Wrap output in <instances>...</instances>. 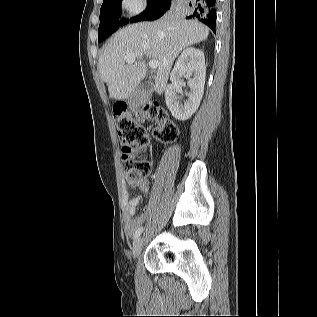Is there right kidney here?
I'll use <instances>...</instances> for the list:
<instances>
[{"mask_svg":"<svg viewBox=\"0 0 317 317\" xmlns=\"http://www.w3.org/2000/svg\"><path fill=\"white\" fill-rule=\"evenodd\" d=\"M183 76H188L190 92L182 104L180 97ZM206 65L204 53L200 49L189 47L183 50L170 74L171 84L166 87L165 101L172 116L180 121L189 119L198 109L204 93ZM192 77V78H190Z\"/></svg>","mask_w":317,"mask_h":317,"instance_id":"1","label":"right kidney"}]
</instances>
